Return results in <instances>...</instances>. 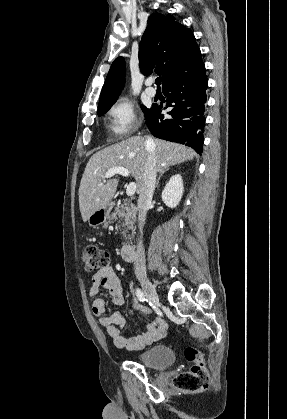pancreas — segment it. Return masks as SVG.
Masks as SVG:
<instances>
[{
    "instance_id": "obj_1",
    "label": "pancreas",
    "mask_w": 287,
    "mask_h": 419,
    "mask_svg": "<svg viewBox=\"0 0 287 419\" xmlns=\"http://www.w3.org/2000/svg\"><path fill=\"white\" fill-rule=\"evenodd\" d=\"M116 215H118L122 221L123 234H126L128 230L134 231V225L136 222V207L132 203L124 201L123 204L115 208V212L112 214V217L115 218ZM128 239L130 238L128 237Z\"/></svg>"
}]
</instances>
